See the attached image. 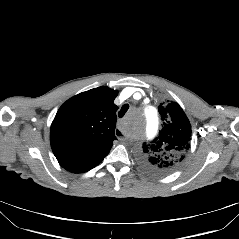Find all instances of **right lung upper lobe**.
<instances>
[{
  "label": "right lung upper lobe",
  "instance_id": "obj_1",
  "mask_svg": "<svg viewBox=\"0 0 239 239\" xmlns=\"http://www.w3.org/2000/svg\"><path fill=\"white\" fill-rule=\"evenodd\" d=\"M118 92L105 86L82 92L58 110L50 129L52 151L59 164L73 173L97 166L116 139Z\"/></svg>",
  "mask_w": 239,
  "mask_h": 239
}]
</instances>
